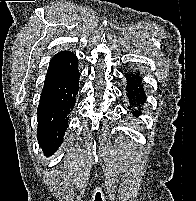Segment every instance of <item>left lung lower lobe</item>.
<instances>
[{
	"label": "left lung lower lobe",
	"instance_id": "obj_1",
	"mask_svg": "<svg viewBox=\"0 0 196 201\" xmlns=\"http://www.w3.org/2000/svg\"><path fill=\"white\" fill-rule=\"evenodd\" d=\"M126 80H127V97L130 102V106L128 107L130 110H132L134 116H139L141 108H138V110H133L134 107H140V104L144 102L146 99L145 93L143 88L141 87V79L138 76V74L133 73H126L125 74Z\"/></svg>",
	"mask_w": 196,
	"mask_h": 201
}]
</instances>
